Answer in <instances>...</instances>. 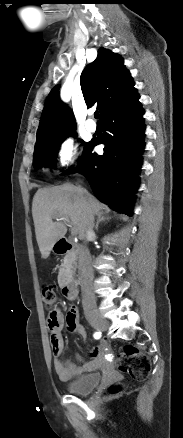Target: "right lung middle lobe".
<instances>
[{"instance_id":"1","label":"right lung middle lobe","mask_w":183,"mask_h":438,"mask_svg":"<svg viewBox=\"0 0 183 438\" xmlns=\"http://www.w3.org/2000/svg\"><path fill=\"white\" fill-rule=\"evenodd\" d=\"M74 130L75 129L38 138L34 150V166H54L61 142L68 136H76Z\"/></svg>"}]
</instances>
